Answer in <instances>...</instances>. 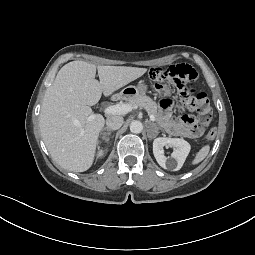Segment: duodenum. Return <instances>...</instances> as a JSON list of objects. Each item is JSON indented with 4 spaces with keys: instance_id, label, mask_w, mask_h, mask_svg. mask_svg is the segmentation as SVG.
<instances>
[{
    "instance_id": "1",
    "label": "duodenum",
    "mask_w": 255,
    "mask_h": 255,
    "mask_svg": "<svg viewBox=\"0 0 255 255\" xmlns=\"http://www.w3.org/2000/svg\"><path fill=\"white\" fill-rule=\"evenodd\" d=\"M123 97V94H116L115 96H114V99L115 100H119V99H121Z\"/></svg>"
}]
</instances>
